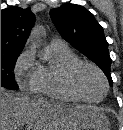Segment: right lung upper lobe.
I'll list each match as a JSON object with an SVG mask.
<instances>
[{
    "mask_svg": "<svg viewBox=\"0 0 123 130\" xmlns=\"http://www.w3.org/2000/svg\"><path fill=\"white\" fill-rule=\"evenodd\" d=\"M34 22L30 7L1 10V53H21Z\"/></svg>",
    "mask_w": 123,
    "mask_h": 130,
    "instance_id": "cb5924a9",
    "label": "right lung upper lobe"
}]
</instances>
